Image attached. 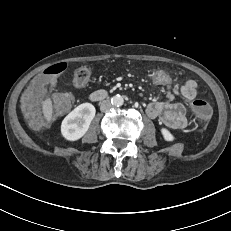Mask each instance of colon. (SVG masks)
<instances>
[{
    "label": "colon",
    "mask_w": 231,
    "mask_h": 231,
    "mask_svg": "<svg viewBox=\"0 0 231 231\" xmlns=\"http://www.w3.org/2000/svg\"><path fill=\"white\" fill-rule=\"evenodd\" d=\"M66 69V64L57 63L48 67L44 75L36 77L35 81H30L26 85V91L22 96L21 108L24 117L33 127L42 125V118L38 105L42 97L43 90L51 86L54 77L60 75ZM90 71L87 67H80L74 73L73 83L76 87H83L89 80ZM148 79L156 86H170L173 83V75L161 69L149 72ZM74 98L70 93H58L53 98V112L55 116H61L68 112L73 104ZM192 111L202 124H206L212 116V107L203 99H196L191 104Z\"/></svg>",
    "instance_id": "colon-1"
}]
</instances>
